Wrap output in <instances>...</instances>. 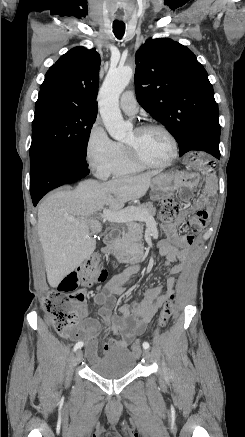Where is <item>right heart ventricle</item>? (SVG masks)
Wrapping results in <instances>:
<instances>
[{
    "mask_svg": "<svg viewBox=\"0 0 245 437\" xmlns=\"http://www.w3.org/2000/svg\"><path fill=\"white\" fill-rule=\"evenodd\" d=\"M144 168L133 163L126 155L124 146L117 143V156L111 167L110 174L114 177H123L141 172Z\"/></svg>",
    "mask_w": 245,
    "mask_h": 437,
    "instance_id": "1",
    "label": "right heart ventricle"
}]
</instances>
